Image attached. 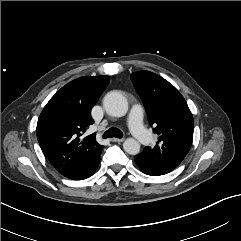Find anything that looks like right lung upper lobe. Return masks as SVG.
Wrapping results in <instances>:
<instances>
[{
	"mask_svg": "<svg viewBox=\"0 0 241 241\" xmlns=\"http://www.w3.org/2000/svg\"><path fill=\"white\" fill-rule=\"evenodd\" d=\"M109 83L108 76L80 77L62 87L47 103L37 123L40 147L56 168L66 176L95 160L103 149L95 135L82 139L93 124L91 109Z\"/></svg>",
	"mask_w": 241,
	"mask_h": 241,
	"instance_id": "right-lung-upper-lobe-1",
	"label": "right lung upper lobe"
}]
</instances>
